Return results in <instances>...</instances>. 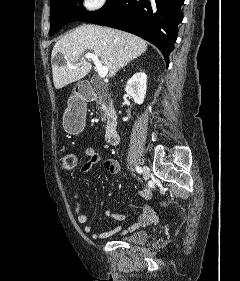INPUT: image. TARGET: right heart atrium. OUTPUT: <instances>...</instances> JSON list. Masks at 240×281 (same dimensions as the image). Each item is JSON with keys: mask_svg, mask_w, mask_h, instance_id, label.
<instances>
[{"mask_svg": "<svg viewBox=\"0 0 240 281\" xmlns=\"http://www.w3.org/2000/svg\"><path fill=\"white\" fill-rule=\"evenodd\" d=\"M107 4V0H82L81 7L88 14L101 11Z\"/></svg>", "mask_w": 240, "mask_h": 281, "instance_id": "obj_1", "label": "right heart atrium"}]
</instances>
